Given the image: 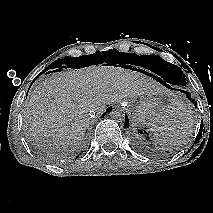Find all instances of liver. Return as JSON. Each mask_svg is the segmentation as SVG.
Listing matches in <instances>:
<instances>
[{
    "mask_svg": "<svg viewBox=\"0 0 213 213\" xmlns=\"http://www.w3.org/2000/svg\"><path fill=\"white\" fill-rule=\"evenodd\" d=\"M166 91L152 78L114 66H91L53 74L29 94L24 117L34 143L48 153L69 152L82 140L89 112L106 105Z\"/></svg>",
    "mask_w": 213,
    "mask_h": 213,
    "instance_id": "obj_1",
    "label": "liver"
}]
</instances>
